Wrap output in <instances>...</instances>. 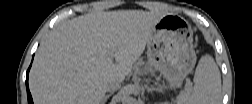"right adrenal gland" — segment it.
<instances>
[{
  "instance_id": "right-adrenal-gland-1",
  "label": "right adrenal gland",
  "mask_w": 252,
  "mask_h": 104,
  "mask_svg": "<svg viewBox=\"0 0 252 104\" xmlns=\"http://www.w3.org/2000/svg\"><path fill=\"white\" fill-rule=\"evenodd\" d=\"M112 95H113V92L107 94V95L104 97V99H103V101L101 102V104H105V103L107 102V100L109 99V97L112 96Z\"/></svg>"
}]
</instances>
